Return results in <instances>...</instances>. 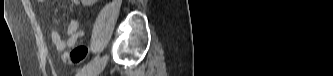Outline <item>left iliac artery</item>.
Segmentation results:
<instances>
[{
  "label": "left iliac artery",
  "instance_id": "44dca946",
  "mask_svg": "<svg viewBox=\"0 0 333 76\" xmlns=\"http://www.w3.org/2000/svg\"><path fill=\"white\" fill-rule=\"evenodd\" d=\"M100 59L99 55H97L93 60H91L88 64L84 65L83 68L78 71V74L79 75L81 72L89 69L94 63H96L98 60Z\"/></svg>",
  "mask_w": 333,
  "mask_h": 76
}]
</instances>
